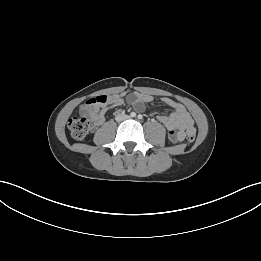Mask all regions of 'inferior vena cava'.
Here are the masks:
<instances>
[{
	"instance_id": "inferior-vena-cava-1",
	"label": "inferior vena cava",
	"mask_w": 261,
	"mask_h": 261,
	"mask_svg": "<svg viewBox=\"0 0 261 261\" xmlns=\"http://www.w3.org/2000/svg\"><path fill=\"white\" fill-rule=\"evenodd\" d=\"M127 118H128L127 115H125V114H119V115H117V116L115 117V120H116L117 122H121V121H123V120H125V119H127Z\"/></svg>"
}]
</instances>
